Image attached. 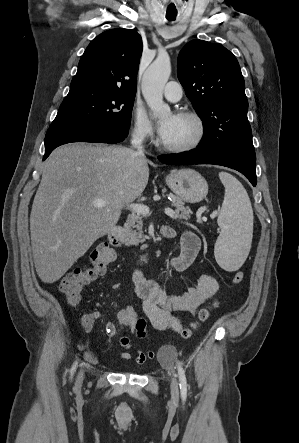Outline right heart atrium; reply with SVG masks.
Segmentation results:
<instances>
[{"mask_svg": "<svg viewBox=\"0 0 299 443\" xmlns=\"http://www.w3.org/2000/svg\"><path fill=\"white\" fill-rule=\"evenodd\" d=\"M131 133L134 140L145 144L153 139V126L146 112L140 106L135 105L132 110Z\"/></svg>", "mask_w": 299, "mask_h": 443, "instance_id": "obj_1", "label": "right heart atrium"}]
</instances>
